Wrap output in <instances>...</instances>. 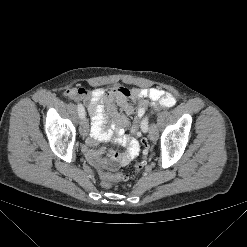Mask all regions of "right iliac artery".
<instances>
[{"label": "right iliac artery", "mask_w": 247, "mask_h": 247, "mask_svg": "<svg viewBox=\"0 0 247 247\" xmlns=\"http://www.w3.org/2000/svg\"><path fill=\"white\" fill-rule=\"evenodd\" d=\"M77 107H78L79 117L84 118L85 117V109H84L83 105L78 103Z\"/></svg>", "instance_id": "obj_1"}]
</instances>
